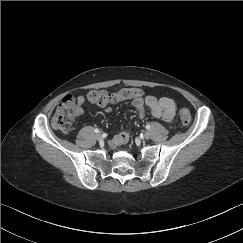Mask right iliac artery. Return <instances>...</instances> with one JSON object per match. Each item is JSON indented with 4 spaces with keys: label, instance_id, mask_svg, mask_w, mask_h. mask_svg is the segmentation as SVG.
<instances>
[{
    "label": "right iliac artery",
    "instance_id": "82829eb1",
    "mask_svg": "<svg viewBox=\"0 0 243 243\" xmlns=\"http://www.w3.org/2000/svg\"><path fill=\"white\" fill-rule=\"evenodd\" d=\"M94 132H95V133H99V129H97V128L94 129Z\"/></svg>",
    "mask_w": 243,
    "mask_h": 243
}]
</instances>
